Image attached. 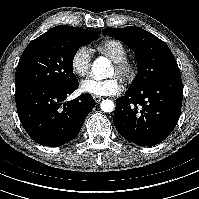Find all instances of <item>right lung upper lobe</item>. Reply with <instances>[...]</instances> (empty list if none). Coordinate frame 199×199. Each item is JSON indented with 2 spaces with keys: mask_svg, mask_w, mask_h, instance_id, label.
<instances>
[{
  "mask_svg": "<svg viewBox=\"0 0 199 199\" xmlns=\"http://www.w3.org/2000/svg\"><path fill=\"white\" fill-rule=\"evenodd\" d=\"M75 29H81V28L72 27V26H68V25H59V26L52 28L51 30L59 31V32H66V31H72ZM82 30H86V29H82ZM98 32H100V31H98Z\"/></svg>",
  "mask_w": 199,
  "mask_h": 199,
  "instance_id": "1",
  "label": "right lung upper lobe"
}]
</instances>
